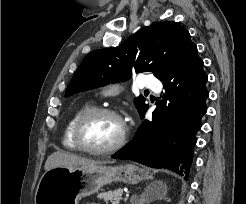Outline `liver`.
Returning <instances> with one entry per match:
<instances>
[{
    "mask_svg": "<svg viewBox=\"0 0 246 204\" xmlns=\"http://www.w3.org/2000/svg\"><path fill=\"white\" fill-rule=\"evenodd\" d=\"M112 163L110 161H97L79 157L77 155L66 153L62 151H56L52 153L45 162V171H48L55 167H75V166H87V165H103Z\"/></svg>",
    "mask_w": 246,
    "mask_h": 204,
    "instance_id": "1",
    "label": "liver"
}]
</instances>
